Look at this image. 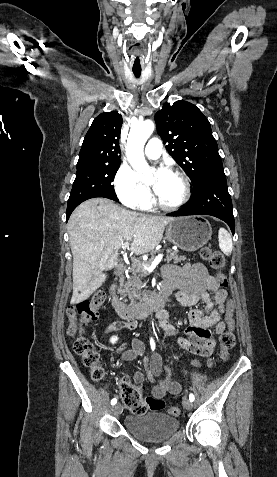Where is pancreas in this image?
<instances>
[{
	"mask_svg": "<svg viewBox=\"0 0 277 477\" xmlns=\"http://www.w3.org/2000/svg\"><path fill=\"white\" fill-rule=\"evenodd\" d=\"M167 255L165 258L166 262L174 261V263L182 262L185 261V256H180L178 255V252L175 250H166ZM154 260V253L151 254V258L147 264H150ZM149 275L148 271L144 270L141 265H137L136 268L132 271V276L130 279H128L125 288L123 289V292L125 293V296H128L130 300V308H133L136 306L135 300H141L142 297V292L141 288L143 285L142 278L144 276Z\"/></svg>",
	"mask_w": 277,
	"mask_h": 477,
	"instance_id": "cf45deb5",
	"label": "pancreas"
}]
</instances>
